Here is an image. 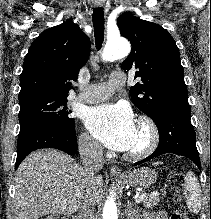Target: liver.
Segmentation results:
<instances>
[{
  "label": "liver",
  "instance_id": "6515ba94",
  "mask_svg": "<svg viewBox=\"0 0 211 219\" xmlns=\"http://www.w3.org/2000/svg\"><path fill=\"white\" fill-rule=\"evenodd\" d=\"M103 178L92 183L70 156L54 149L29 154L15 174V197L11 219H38L45 215H71L88 194L98 204Z\"/></svg>",
  "mask_w": 211,
  "mask_h": 219
}]
</instances>
